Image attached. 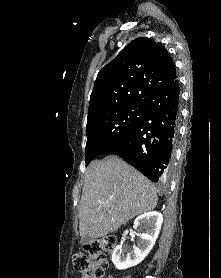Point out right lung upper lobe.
I'll return each instance as SVG.
<instances>
[{
    "mask_svg": "<svg viewBox=\"0 0 221 278\" xmlns=\"http://www.w3.org/2000/svg\"><path fill=\"white\" fill-rule=\"evenodd\" d=\"M177 78L175 64L161 43L141 37L129 43L98 73L87 121L144 101Z\"/></svg>",
    "mask_w": 221,
    "mask_h": 278,
    "instance_id": "obj_1",
    "label": "right lung upper lobe"
}]
</instances>
